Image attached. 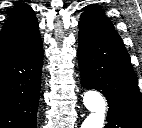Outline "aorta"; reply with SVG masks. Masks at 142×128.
I'll return each instance as SVG.
<instances>
[{
    "label": "aorta",
    "mask_w": 142,
    "mask_h": 128,
    "mask_svg": "<svg viewBox=\"0 0 142 128\" xmlns=\"http://www.w3.org/2000/svg\"><path fill=\"white\" fill-rule=\"evenodd\" d=\"M83 103L90 114L83 121L81 128H103L106 114V102L103 96L94 90L85 92Z\"/></svg>",
    "instance_id": "762f6f07"
}]
</instances>
